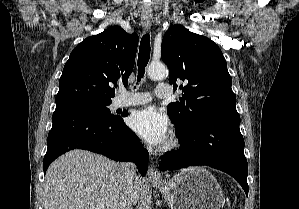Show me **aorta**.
Returning a JSON list of instances; mask_svg holds the SVG:
<instances>
[{
  "mask_svg": "<svg viewBox=\"0 0 299 209\" xmlns=\"http://www.w3.org/2000/svg\"><path fill=\"white\" fill-rule=\"evenodd\" d=\"M167 73L166 67L161 63H151L147 71L148 76L154 80L163 79Z\"/></svg>",
  "mask_w": 299,
  "mask_h": 209,
  "instance_id": "1",
  "label": "aorta"
}]
</instances>
